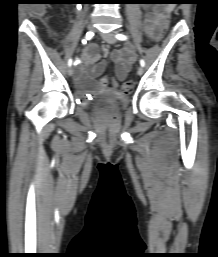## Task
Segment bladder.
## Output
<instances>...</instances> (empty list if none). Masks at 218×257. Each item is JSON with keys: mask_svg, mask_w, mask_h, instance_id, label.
I'll return each mask as SVG.
<instances>
[{"mask_svg": "<svg viewBox=\"0 0 218 257\" xmlns=\"http://www.w3.org/2000/svg\"><path fill=\"white\" fill-rule=\"evenodd\" d=\"M126 97H122V101H125Z\"/></svg>", "mask_w": 218, "mask_h": 257, "instance_id": "obj_1", "label": "bladder"}]
</instances>
